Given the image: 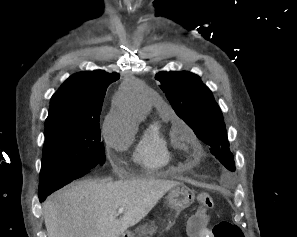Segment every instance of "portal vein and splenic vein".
<instances>
[{"label":"portal vein and splenic vein","mask_w":297,"mask_h":237,"mask_svg":"<svg viewBox=\"0 0 297 237\" xmlns=\"http://www.w3.org/2000/svg\"><path fill=\"white\" fill-rule=\"evenodd\" d=\"M124 212V208H119L118 209V214H122Z\"/></svg>","instance_id":"18ae733b"}]
</instances>
